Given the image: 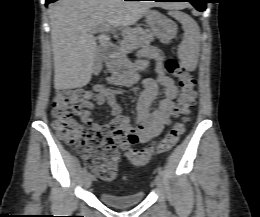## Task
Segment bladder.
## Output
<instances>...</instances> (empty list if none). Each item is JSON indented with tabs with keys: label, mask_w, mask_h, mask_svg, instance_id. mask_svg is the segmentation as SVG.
I'll return each instance as SVG.
<instances>
[{
	"label": "bladder",
	"mask_w": 260,
	"mask_h": 217,
	"mask_svg": "<svg viewBox=\"0 0 260 217\" xmlns=\"http://www.w3.org/2000/svg\"><path fill=\"white\" fill-rule=\"evenodd\" d=\"M144 197L145 194L142 191L126 195H116L107 191H101L99 193L100 200L112 207H127L137 205L143 202Z\"/></svg>",
	"instance_id": "obj_1"
}]
</instances>
